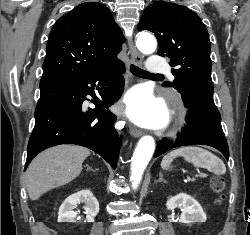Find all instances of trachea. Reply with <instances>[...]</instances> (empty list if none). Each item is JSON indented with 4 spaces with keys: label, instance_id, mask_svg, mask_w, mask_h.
<instances>
[{
    "label": "trachea",
    "instance_id": "obj_1",
    "mask_svg": "<svg viewBox=\"0 0 250 235\" xmlns=\"http://www.w3.org/2000/svg\"><path fill=\"white\" fill-rule=\"evenodd\" d=\"M130 71L135 75L139 77H163L161 74H151L147 72L146 70H143L135 65L130 66Z\"/></svg>",
    "mask_w": 250,
    "mask_h": 235
}]
</instances>
